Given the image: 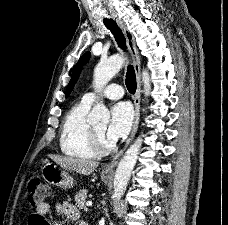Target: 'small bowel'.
<instances>
[{"mask_svg":"<svg viewBox=\"0 0 228 225\" xmlns=\"http://www.w3.org/2000/svg\"><path fill=\"white\" fill-rule=\"evenodd\" d=\"M59 213L67 216L71 219L78 218V212L76 209L68 202H63L57 206ZM50 212V206L48 203H43L36 208L35 213L29 219V225H55L53 222H46V218Z\"/></svg>","mask_w":228,"mask_h":225,"instance_id":"small-bowel-1","label":"small bowel"}]
</instances>
